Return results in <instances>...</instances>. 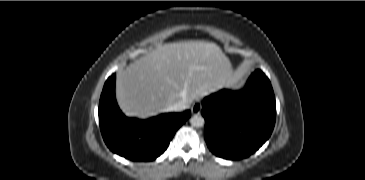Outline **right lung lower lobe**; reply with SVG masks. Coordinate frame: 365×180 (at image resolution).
I'll use <instances>...</instances> for the list:
<instances>
[{"label": "right lung lower lobe", "mask_w": 365, "mask_h": 180, "mask_svg": "<svg viewBox=\"0 0 365 180\" xmlns=\"http://www.w3.org/2000/svg\"><path fill=\"white\" fill-rule=\"evenodd\" d=\"M116 75H111L99 102V124L102 137L111 151L131 161H152L168 147L179 127L190 117V111L166 113L151 119L126 117L115 98Z\"/></svg>", "instance_id": "obj_1"}]
</instances>
